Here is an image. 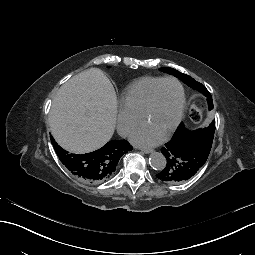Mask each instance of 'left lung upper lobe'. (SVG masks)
<instances>
[{
  "instance_id": "1",
  "label": "left lung upper lobe",
  "mask_w": 255,
  "mask_h": 255,
  "mask_svg": "<svg viewBox=\"0 0 255 255\" xmlns=\"http://www.w3.org/2000/svg\"><path fill=\"white\" fill-rule=\"evenodd\" d=\"M161 71L166 72L168 74H172L174 76H176L177 78H179L181 81H183L185 84H187L188 86H190L193 89H196L200 92H202L206 97H207V101H208V106H209V110L213 109V102H212V96L211 94L207 91V89L205 88L204 85H202L201 83L195 81L192 77L183 74L173 68H160ZM180 127H184L183 124H181L178 129L176 130L174 137H176L177 135H182V132H180ZM214 132H215V120H213V122L209 125V127L207 128H203V129H197L195 130L196 134L199 135H203L202 137V141L205 144L204 149L206 152L211 153L214 151L215 146L213 144V137H214ZM172 138V139H173ZM171 139V140H172ZM170 140V141H171ZM169 141V142H170ZM168 142V143H169ZM163 154V153H162ZM164 155V154H163ZM166 157V155H164ZM167 160V158H166ZM184 164V163H183ZM168 165V163H167ZM166 165V166H167ZM166 169V167H165ZM164 169V170H165ZM162 172V171H161ZM164 181V180H162ZM165 182V181H164ZM174 184V183H173Z\"/></svg>"
}]
</instances>
